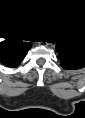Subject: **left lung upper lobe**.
<instances>
[{
  "mask_svg": "<svg viewBox=\"0 0 85 118\" xmlns=\"http://www.w3.org/2000/svg\"><path fill=\"white\" fill-rule=\"evenodd\" d=\"M59 57L61 59V66L65 69L75 68L73 64V56L71 52L65 47L58 48Z\"/></svg>",
  "mask_w": 85,
  "mask_h": 118,
  "instance_id": "obj_1",
  "label": "left lung upper lobe"
}]
</instances>
